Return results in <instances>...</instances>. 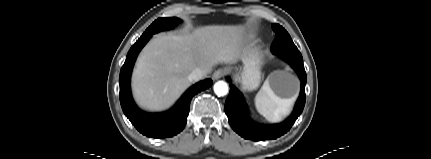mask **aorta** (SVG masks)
Segmentation results:
<instances>
[{
	"label": "aorta",
	"mask_w": 431,
	"mask_h": 159,
	"mask_svg": "<svg viewBox=\"0 0 431 159\" xmlns=\"http://www.w3.org/2000/svg\"><path fill=\"white\" fill-rule=\"evenodd\" d=\"M214 92L218 96H224L228 93V85L224 81H218L214 85Z\"/></svg>",
	"instance_id": "obj_1"
}]
</instances>
